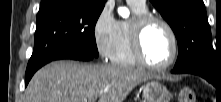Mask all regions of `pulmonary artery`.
<instances>
[{
	"label": "pulmonary artery",
	"instance_id": "1",
	"mask_svg": "<svg viewBox=\"0 0 221 102\" xmlns=\"http://www.w3.org/2000/svg\"><path fill=\"white\" fill-rule=\"evenodd\" d=\"M128 3L134 4L139 7H145L146 6V1L145 0H127Z\"/></svg>",
	"mask_w": 221,
	"mask_h": 102
}]
</instances>
